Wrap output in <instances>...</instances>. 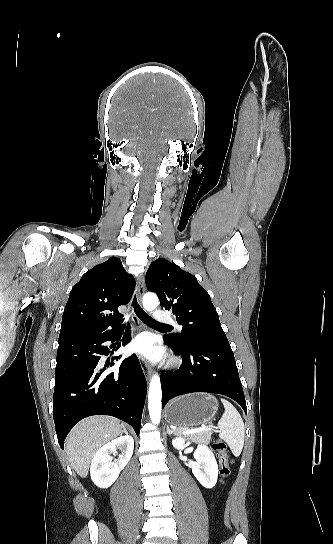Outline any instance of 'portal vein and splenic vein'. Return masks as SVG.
<instances>
[{
  "instance_id": "portal-vein-and-splenic-vein-1",
  "label": "portal vein and splenic vein",
  "mask_w": 333,
  "mask_h": 544,
  "mask_svg": "<svg viewBox=\"0 0 333 544\" xmlns=\"http://www.w3.org/2000/svg\"><path fill=\"white\" fill-rule=\"evenodd\" d=\"M207 430H211V429H210V428H207L205 425H202L201 427H198V428H195V429H191V430L184 431L183 434H187V433H196V432L207 431Z\"/></svg>"
}]
</instances>
